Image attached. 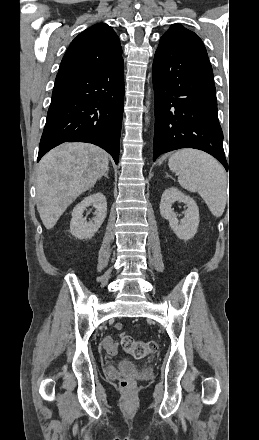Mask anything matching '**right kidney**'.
Here are the masks:
<instances>
[{"label":"right kidney","instance_id":"1","mask_svg":"<svg viewBox=\"0 0 259 440\" xmlns=\"http://www.w3.org/2000/svg\"><path fill=\"white\" fill-rule=\"evenodd\" d=\"M93 206L96 209L95 217L91 221L83 218L84 210ZM107 215V202L102 193H95L84 198L72 211L70 233L78 239H90L99 230Z\"/></svg>","mask_w":259,"mask_h":440}]
</instances>
